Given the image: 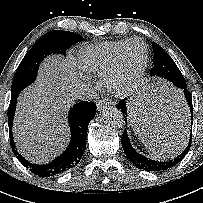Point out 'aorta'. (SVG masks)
<instances>
[{"label": "aorta", "mask_w": 203, "mask_h": 203, "mask_svg": "<svg viewBox=\"0 0 203 203\" xmlns=\"http://www.w3.org/2000/svg\"><path fill=\"white\" fill-rule=\"evenodd\" d=\"M103 122L114 129L122 128L124 125V116L120 110L115 107H107L102 111Z\"/></svg>", "instance_id": "obj_1"}]
</instances>
